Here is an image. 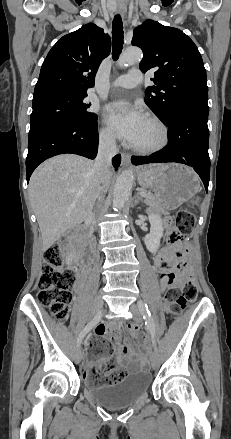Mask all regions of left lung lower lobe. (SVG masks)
Listing matches in <instances>:
<instances>
[{"label":"left lung lower lobe","mask_w":231,"mask_h":439,"mask_svg":"<svg viewBox=\"0 0 231 439\" xmlns=\"http://www.w3.org/2000/svg\"><path fill=\"white\" fill-rule=\"evenodd\" d=\"M208 111L207 104L196 103L184 104L174 109L163 121L169 127V144L150 156L132 157L133 164L160 162L186 164L199 174L208 191L210 179Z\"/></svg>","instance_id":"left-lung-lower-lobe-1"}]
</instances>
